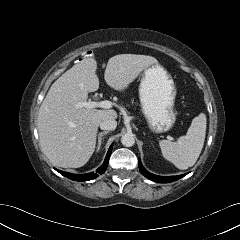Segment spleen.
I'll list each match as a JSON object with an SVG mask.
<instances>
[{"label":"spleen","instance_id":"3e777b00","mask_svg":"<svg viewBox=\"0 0 240 240\" xmlns=\"http://www.w3.org/2000/svg\"><path fill=\"white\" fill-rule=\"evenodd\" d=\"M207 119L200 113L192 120L186 135L178 138L176 142L161 140L159 142L162 155L173 163L178 169L186 170L192 167L204 145Z\"/></svg>","mask_w":240,"mask_h":240}]
</instances>
